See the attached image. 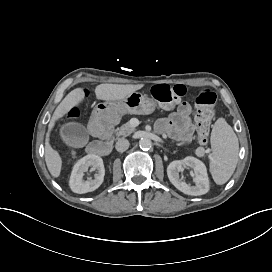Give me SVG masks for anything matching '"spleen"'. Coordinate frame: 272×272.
<instances>
[{
	"label": "spleen",
	"instance_id": "1",
	"mask_svg": "<svg viewBox=\"0 0 272 272\" xmlns=\"http://www.w3.org/2000/svg\"><path fill=\"white\" fill-rule=\"evenodd\" d=\"M210 142V172L215 183L222 185L235 171L239 152L238 138L225 119L219 118L213 126Z\"/></svg>",
	"mask_w": 272,
	"mask_h": 272
}]
</instances>
